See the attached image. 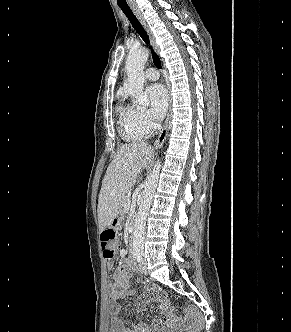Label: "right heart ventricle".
<instances>
[{"mask_svg": "<svg viewBox=\"0 0 291 332\" xmlns=\"http://www.w3.org/2000/svg\"><path fill=\"white\" fill-rule=\"evenodd\" d=\"M119 117V132L126 141H138L144 139L148 132L140 130L134 122L135 107L119 103L116 107Z\"/></svg>", "mask_w": 291, "mask_h": 332, "instance_id": "right-heart-ventricle-1", "label": "right heart ventricle"}]
</instances>
